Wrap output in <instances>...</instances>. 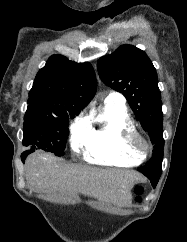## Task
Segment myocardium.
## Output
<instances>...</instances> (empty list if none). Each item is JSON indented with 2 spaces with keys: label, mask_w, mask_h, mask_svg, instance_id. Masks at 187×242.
I'll return each instance as SVG.
<instances>
[{
  "label": "myocardium",
  "mask_w": 187,
  "mask_h": 242,
  "mask_svg": "<svg viewBox=\"0 0 187 242\" xmlns=\"http://www.w3.org/2000/svg\"><path fill=\"white\" fill-rule=\"evenodd\" d=\"M123 144L125 148L134 155L139 156L142 160L145 159L151 152V144L145 138L143 134L137 130H127L123 133ZM141 142L145 150L140 151L137 147V143Z\"/></svg>",
  "instance_id": "f54148a6"
}]
</instances>
